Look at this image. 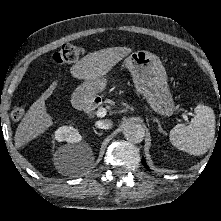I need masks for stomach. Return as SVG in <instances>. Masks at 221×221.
<instances>
[{"label":"stomach","mask_w":221,"mask_h":221,"mask_svg":"<svg viewBox=\"0 0 221 221\" xmlns=\"http://www.w3.org/2000/svg\"><path fill=\"white\" fill-rule=\"evenodd\" d=\"M124 66L132 75L135 88L147 100L151 109L163 116H171L176 108L172 98L167 74L160 58L153 53L138 50L130 53ZM107 86V77L98 76L85 81L73 93L84 101L92 100Z\"/></svg>","instance_id":"stomach-1"}]
</instances>
